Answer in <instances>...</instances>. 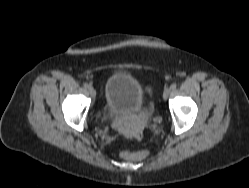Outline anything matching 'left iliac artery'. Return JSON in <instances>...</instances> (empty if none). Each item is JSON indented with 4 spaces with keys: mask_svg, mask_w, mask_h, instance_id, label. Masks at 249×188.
Returning <instances> with one entry per match:
<instances>
[{
    "mask_svg": "<svg viewBox=\"0 0 249 188\" xmlns=\"http://www.w3.org/2000/svg\"><path fill=\"white\" fill-rule=\"evenodd\" d=\"M176 86H177L176 83H173V84L170 86V89H171V90H174V89H176Z\"/></svg>",
    "mask_w": 249,
    "mask_h": 188,
    "instance_id": "1",
    "label": "left iliac artery"
}]
</instances>
